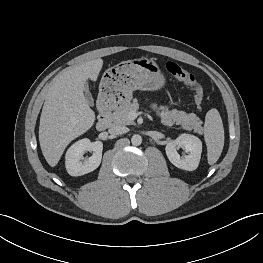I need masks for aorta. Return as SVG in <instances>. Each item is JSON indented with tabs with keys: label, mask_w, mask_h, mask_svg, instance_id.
<instances>
[{
	"label": "aorta",
	"mask_w": 263,
	"mask_h": 263,
	"mask_svg": "<svg viewBox=\"0 0 263 263\" xmlns=\"http://www.w3.org/2000/svg\"><path fill=\"white\" fill-rule=\"evenodd\" d=\"M131 143L134 146H139L142 143V137L138 134H134L131 138Z\"/></svg>",
	"instance_id": "obj_1"
}]
</instances>
